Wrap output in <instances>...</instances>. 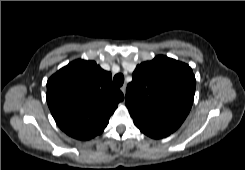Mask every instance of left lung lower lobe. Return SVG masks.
Masks as SVG:
<instances>
[{"mask_svg":"<svg viewBox=\"0 0 245 170\" xmlns=\"http://www.w3.org/2000/svg\"><path fill=\"white\" fill-rule=\"evenodd\" d=\"M135 125L140 129L141 132H143L147 136H150V137L155 138V139L163 138V137H166V136L171 134V133L166 132V131L153 129V128L146 127L143 125H138V124H135Z\"/></svg>","mask_w":245,"mask_h":170,"instance_id":"1","label":"left lung lower lobe"}]
</instances>
